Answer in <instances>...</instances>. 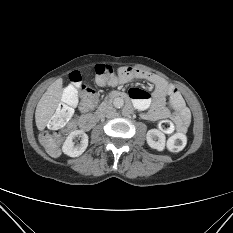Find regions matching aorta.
<instances>
[{
  "label": "aorta",
  "mask_w": 233,
  "mask_h": 233,
  "mask_svg": "<svg viewBox=\"0 0 233 233\" xmlns=\"http://www.w3.org/2000/svg\"><path fill=\"white\" fill-rule=\"evenodd\" d=\"M113 105L116 108H122L124 106V100L122 98H120V97L115 98L114 101H113Z\"/></svg>",
  "instance_id": "obj_1"
}]
</instances>
